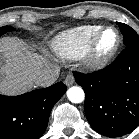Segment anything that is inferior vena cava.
<instances>
[{"mask_svg": "<svg viewBox=\"0 0 139 139\" xmlns=\"http://www.w3.org/2000/svg\"><path fill=\"white\" fill-rule=\"evenodd\" d=\"M59 76V68H47L42 70L36 77L34 83L39 87H48L56 82Z\"/></svg>", "mask_w": 139, "mask_h": 139, "instance_id": "obj_1", "label": "inferior vena cava"}]
</instances>
